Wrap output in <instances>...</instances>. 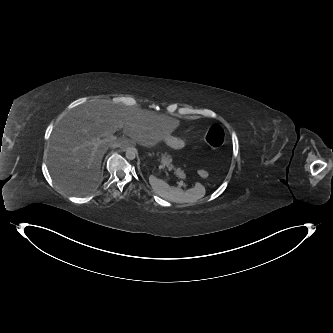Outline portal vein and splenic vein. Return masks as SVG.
<instances>
[{
	"label": "portal vein and splenic vein",
	"instance_id": "portal-vein-and-splenic-vein-1",
	"mask_svg": "<svg viewBox=\"0 0 333 333\" xmlns=\"http://www.w3.org/2000/svg\"><path fill=\"white\" fill-rule=\"evenodd\" d=\"M117 137L116 136H114V135H111V134H108V135H106V138L104 139L105 141H108V140H114V139H116ZM100 142H102L101 140H98V142L97 143H100ZM175 173H178V170H175Z\"/></svg>",
	"mask_w": 333,
	"mask_h": 333
}]
</instances>
